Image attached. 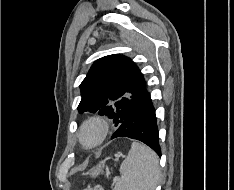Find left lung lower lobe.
<instances>
[{
	"instance_id": "left-lung-lower-lobe-1",
	"label": "left lung lower lobe",
	"mask_w": 234,
	"mask_h": 190,
	"mask_svg": "<svg viewBox=\"0 0 234 190\" xmlns=\"http://www.w3.org/2000/svg\"><path fill=\"white\" fill-rule=\"evenodd\" d=\"M117 137H129L140 140L161 156L155 109L150 98V93L147 90L132 107L111 139Z\"/></svg>"
}]
</instances>
